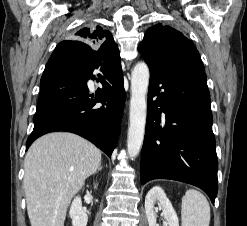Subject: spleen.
Instances as JSON below:
<instances>
[{"instance_id":"spleen-1","label":"spleen","mask_w":247,"mask_h":226,"mask_svg":"<svg viewBox=\"0 0 247 226\" xmlns=\"http://www.w3.org/2000/svg\"><path fill=\"white\" fill-rule=\"evenodd\" d=\"M182 226H209L210 205L197 190L189 189L182 199Z\"/></svg>"}]
</instances>
